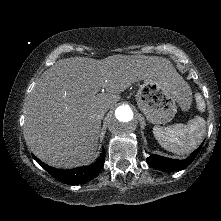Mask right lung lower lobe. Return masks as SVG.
<instances>
[{
  "instance_id": "obj_1",
  "label": "right lung lower lobe",
  "mask_w": 221,
  "mask_h": 221,
  "mask_svg": "<svg viewBox=\"0 0 221 221\" xmlns=\"http://www.w3.org/2000/svg\"><path fill=\"white\" fill-rule=\"evenodd\" d=\"M33 158L55 179L65 184H81L95 178L102 169L105 161V151L102 149V153L98 160L90 166L79 167L70 170L55 169L41 162L37 157L32 154Z\"/></svg>"
}]
</instances>
